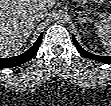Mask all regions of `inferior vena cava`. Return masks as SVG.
Segmentation results:
<instances>
[{"label":"inferior vena cava","instance_id":"inferior-vena-cava-1","mask_svg":"<svg viewBox=\"0 0 111 106\" xmlns=\"http://www.w3.org/2000/svg\"><path fill=\"white\" fill-rule=\"evenodd\" d=\"M48 15V10L46 8H37L34 11V19L36 21L43 20Z\"/></svg>","mask_w":111,"mask_h":106}]
</instances>
